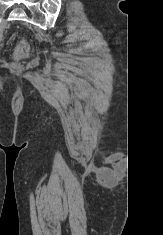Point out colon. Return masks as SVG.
Segmentation results:
<instances>
[{
	"label": "colon",
	"instance_id": "colon-1",
	"mask_svg": "<svg viewBox=\"0 0 163 235\" xmlns=\"http://www.w3.org/2000/svg\"><path fill=\"white\" fill-rule=\"evenodd\" d=\"M29 47L27 43L21 39L15 49V57L16 59L20 60L25 58L28 55Z\"/></svg>",
	"mask_w": 163,
	"mask_h": 235
}]
</instances>
